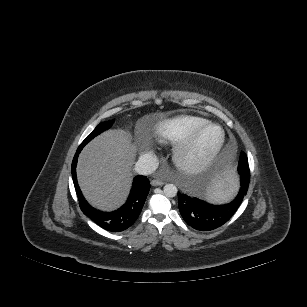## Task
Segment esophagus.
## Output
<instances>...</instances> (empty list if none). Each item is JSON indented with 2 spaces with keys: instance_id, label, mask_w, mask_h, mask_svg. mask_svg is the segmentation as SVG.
Returning a JSON list of instances; mask_svg holds the SVG:
<instances>
[{
  "instance_id": "esophagus-1",
  "label": "esophagus",
  "mask_w": 307,
  "mask_h": 307,
  "mask_svg": "<svg viewBox=\"0 0 307 307\" xmlns=\"http://www.w3.org/2000/svg\"><path fill=\"white\" fill-rule=\"evenodd\" d=\"M151 184H152V186H161V185L164 184V182L161 181V180H159V179H153V180L151 181Z\"/></svg>"
}]
</instances>
